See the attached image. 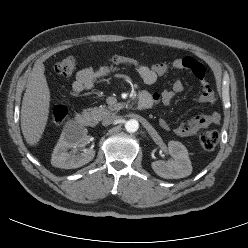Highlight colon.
I'll list each match as a JSON object with an SVG mask.
<instances>
[{"mask_svg":"<svg viewBox=\"0 0 248 248\" xmlns=\"http://www.w3.org/2000/svg\"><path fill=\"white\" fill-rule=\"evenodd\" d=\"M110 61L115 64L127 65L137 68L141 62L133 57L112 54L109 56ZM77 66V59L74 56H68L60 60L54 66L56 74L63 77H69L73 74ZM68 109L63 104H57L52 111V121L55 125L61 124L67 117ZM219 133L216 130L206 131L200 136V144L205 151H212L218 144Z\"/></svg>","mask_w":248,"mask_h":248,"instance_id":"5ec220e1","label":"colon"}]
</instances>
